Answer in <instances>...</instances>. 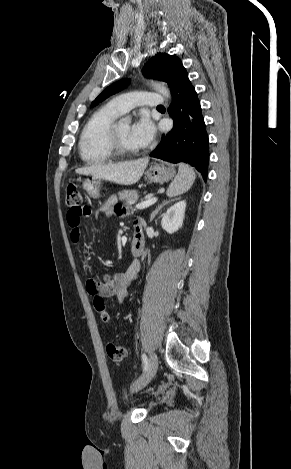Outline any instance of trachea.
<instances>
[{
	"label": "trachea",
	"mask_w": 291,
	"mask_h": 469,
	"mask_svg": "<svg viewBox=\"0 0 291 469\" xmlns=\"http://www.w3.org/2000/svg\"><path fill=\"white\" fill-rule=\"evenodd\" d=\"M158 108H163V106H162V105H160V106H158Z\"/></svg>",
	"instance_id": "trachea-1"
}]
</instances>
